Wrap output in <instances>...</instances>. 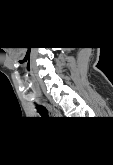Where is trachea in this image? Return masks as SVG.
<instances>
[{
    "label": "trachea",
    "instance_id": "1",
    "mask_svg": "<svg viewBox=\"0 0 113 165\" xmlns=\"http://www.w3.org/2000/svg\"><path fill=\"white\" fill-rule=\"evenodd\" d=\"M36 108H37V111H38L41 115L47 116L48 113H47V110H46L44 107L38 105Z\"/></svg>",
    "mask_w": 113,
    "mask_h": 165
}]
</instances>
